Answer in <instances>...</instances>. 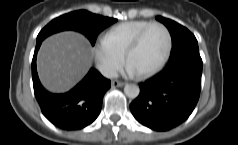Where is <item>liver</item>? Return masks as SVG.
I'll use <instances>...</instances> for the list:
<instances>
[{"label": "liver", "instance_id": "liver-1", "mask_svg": "<svg viewBox=\"0 0 238 145\" xmlns=\"http://www.w3.org/2000/svg\"><path fill=\"white\" fill-rule=\"evenodd\" d=\"M92 60V48L83 35L61 32L43 41L37 58L38 75L47 90L63 93L86 75Z\"/></svg>", "mask_w": 238, "mask_h": 145}]
</instances>
